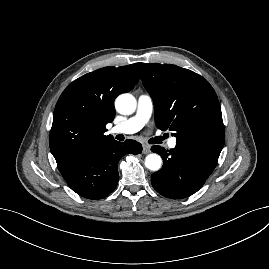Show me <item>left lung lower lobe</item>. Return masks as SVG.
I'll return each instance as SVG.
<instances>
[{
	"label": "left lung lower lobe",
	"mask_w": 269,
	"mask_h": 269,
	"mask_svg": "<svg viewBox=\"0 0 269 269\" xmlns=\"http://www.w3.org/2000/svg\"><path fill=\"white\" fill-rule=\"evenodd\" d=\"M223 145L197 141H176L170 151L161 146L151 150L163 158L162 169L151 176L161 195L181 199L197 192L217 165Z\"/></svg>",
	"instance_id": "left-lung-lower-lobe-1"
}]
</instances>
